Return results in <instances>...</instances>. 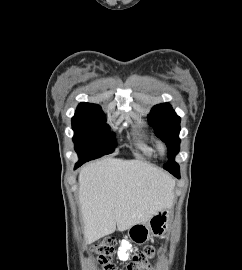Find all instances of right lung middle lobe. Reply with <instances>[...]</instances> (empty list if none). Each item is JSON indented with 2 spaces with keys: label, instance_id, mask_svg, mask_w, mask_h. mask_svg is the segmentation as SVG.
<instances>
[{
  "label": "right lung middle lobe",
  "instance_id": "right-lung-middle-lobe-1",
  "mask_svg": "<svg viewBox=\"0 0 242 270\" xmlns=\"http://www.w3.org/2000/svg\"><path fill=\"white\" fill-rule=\"evenodd\" d=\"M105 121L102 111L75 115L72 118V129L75 133L73 142L79 156L78 163L83 164L114 151V133L109 132Z\"/></svg>",
  "mask_w": 242,
  "mask_h": 270
}]
</instances>
